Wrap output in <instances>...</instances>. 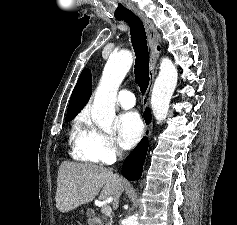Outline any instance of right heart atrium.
<instances>
[{"label":"right heart atrium","mask_w":237,"mask_h":225,"mask_svg":"<svg viewBox=\"0 0 237 225\" xmlns=\"http://www.w3.org/2000/svg\"><path fill=\"white\" fill-rule=\"evenodd\" d=\"M85 148L94 162L105 165L115 162L121 155L115 138L92 124L87 128Z\"/></svg>","instance_id":"1"}]
</instances>
